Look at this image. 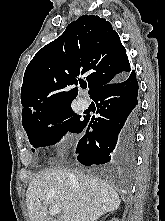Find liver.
Instances as JSON below:
<instances>
[{"label": "liver", "instance_id": "6515ba94", "mask_svg": "<svg viewBox=\"0 0 165 221\" xmlns=\"http://www.w3.org/2000/svg\"><path fill=\"white\" fill-rule=\"evenodd\" d=\"M120 203L116 190L107 182L68 169L41 172L26 191L30 221H48V207L52 205L59 207L69 221H96L117 210Z\"/></svg>", "mask_w": 165, "mask_h": 221}]
</instances>
